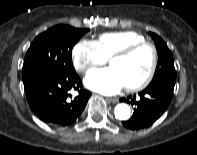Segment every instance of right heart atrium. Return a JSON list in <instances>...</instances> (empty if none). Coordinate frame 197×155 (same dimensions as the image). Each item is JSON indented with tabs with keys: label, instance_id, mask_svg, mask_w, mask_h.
Returning a JSON list of instances; mask_svg holds the SVG:
<instances>
[{
	"label": "right heart atrium",
	"instance_id": "right-heart-atrium-1",
	"mask_svg": "<svg viewBox=\"0 0 197 155\" xmlns=\"http://www.w3.org/2000/svg\"><path fill=\"white\" fill-rule=\"evenodd\" d=\"M72 60L78 72L87 73L94 67L105 64L108 58L97 41L81 39L72 49Z\"/></svg>",
	"mask_w": 197,
	"mask_h": 155
}]
</instances>
